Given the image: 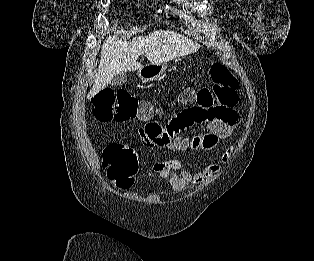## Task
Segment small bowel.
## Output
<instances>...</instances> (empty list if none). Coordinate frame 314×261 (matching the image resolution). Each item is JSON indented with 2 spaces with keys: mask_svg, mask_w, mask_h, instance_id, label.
I'll return each mask as SVG.
<instances>
[{
  "mask_svg": "<svg viewBox=\"0 0 314 261\" xmlns=\"http://www.w3.org/2000/svg\"><path fill=\"white\" fill-rule=\"evenodd\" d=\"M237 99L225 105L211 107L197 106L192 109H181L171 120H157L138 129L139 135L145 146L166 148L169 152L195 150H215L222 140L231 137L234 129L240 124V115L235 109ZM171 101L166 100L163 109L168 110ZM204 125L205 131L187 139L189 131L194 127ZM232 151L226 149L221 154L222 162L226 163L231 157ZM221 167L218 164H208L202 168L188 170L174 160L158 161L152 165L153 173L168 183L170 189L179 193L190 184L200 185L208 178L217 174Z\"/></svg>",
  "mask_w": 314,
  "mask_h": 261,
  "instance_id": "small-bowel-1",
  "label": "small bowel"
}]
</instances>
